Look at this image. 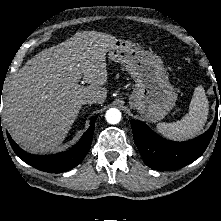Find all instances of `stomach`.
<instances>
[{"mask_svg":"<svg viewBox=\"0 0 221 221\" xmlns=\"http://www.w3.org/2000/svg\"><path fill=\"white\" fill-rule=\"evenodd\" d=\"M108 52L109 58L123 64L135 79L130 106L147 121L163 119L175 106L177 95L162 59L126 40H117Z\"/></svg>","mask_w":221,"mask_h":221,"instance_id":"obj_1","label":"stomach"}]
</instances>
